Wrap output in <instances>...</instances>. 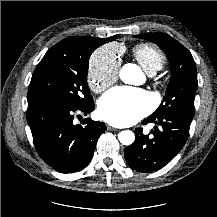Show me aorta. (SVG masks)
<instances>
[{"instance_id": "aorta-1", "label": "aorta", "mask_w": 217, "mask_h": 217, "mask_svg": "<svg viewBox=\"0 0 217 217\" xmlns=\"http://www.w3.org/2000/svg\"><path fill=\"white\" fill-rule=\"evenodd\" d=\"M120 78L126 84H138L142 78L141 69L136 64H125L120 71ZM118 139L123 145H131L135 135L130 130H124L118 134Z\"/></svg>"}]
</instances>
